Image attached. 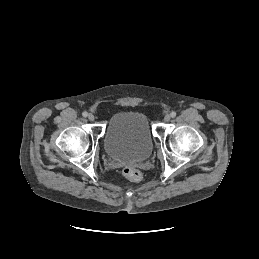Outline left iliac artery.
I'll list each match as a JSON object with an SVG mask.
<instances>
[{
  "mask_svg": "<svg viewBox=\"0 0 259 259\" xmlns=\"http://www.w3.org/2000/svg\"><path fill=\"white\" fill-rule=\"evenodd\" d=\"M170 115L174 118L176 116V112L172 111Z\"/></svg>",
  "mask_w": 259,
  "mask_h": 259,
  "instance_id": "obj_1",
  "label": "left iliac artery"
}]
</instances>
